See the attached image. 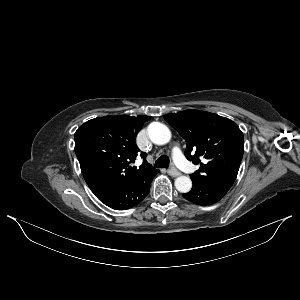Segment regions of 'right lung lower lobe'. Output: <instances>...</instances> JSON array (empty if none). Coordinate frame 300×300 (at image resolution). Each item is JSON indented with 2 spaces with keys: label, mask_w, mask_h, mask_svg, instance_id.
<instances>
[{
  "label": "right lung lower lobe",
  "mask_w": 300,
  "mask_h": 300,
  "mask_svg": "<svg viewBox=\"0 0 300 300\" xmlns=\"http://www.w3.org/2000/svg\"><path fill=\"white\" fill-rule=\"evenodd\" d=\"M151 174L138 181H129L111 190L95 194L108 207L123 210L134 207L147 196L153 177Z\"/></svg>",
  "instance_id": "1"
}]
</instances>
